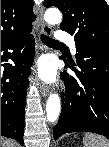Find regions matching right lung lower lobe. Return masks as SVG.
Wrapping results in <instances>:
<instances>
[{
  "instance_id": "98d812e1",
  "label": "right lung lower lobe",
  "mask_w": 109,
  "mask_h": 147,
  "mask_svg": "<svg viewBox=\"0 0 109 147\" xmlns=\"http://www.w3.org/2000/svg\"><path fill=\"white\" fill-rule=\"evenodd\" d=\"M30 32H26L14 39L1 43V63L9 56L8 50H14L15 66L1 64V135L17 140L23 145L24 112L26 92L29 85V63L34 58L32 48L35 42ZM28 42L27 47L20 54L19 49ZM3 67V68H2Z\"/></svg>"
}]
</instances>
